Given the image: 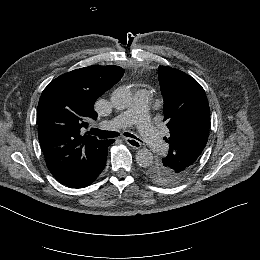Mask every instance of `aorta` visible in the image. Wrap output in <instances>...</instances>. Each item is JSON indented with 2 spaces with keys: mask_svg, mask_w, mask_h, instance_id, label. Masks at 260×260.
<instances>
[{
  "mask_svg": "<svg viewBox=\"0 0 260 260\" xmlns=\"http://www.w3.org/2000/svg\"><path fill=\"white\" fill-rule=\"evenodd\" d=\"M132 100L131 92L127 88H117L112 92L111 102L117 110L129 107ZM153 154L150 150L142 148L136 153V162L141 167L147 168L153 163Z\"/></svg>",
  "mask_w": 260,
  "mask_h": 260,
  "instance_id": "obj_1",
  "label": "aorta"
}]
</instances>
